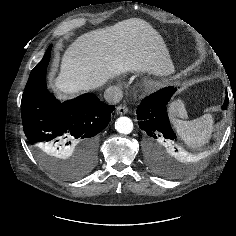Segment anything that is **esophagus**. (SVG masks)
<instances>
[{
    "instance_id": "obj_1",
    "label": "esophagus",
    "mask_w": 236,
    "mask_h": 236,
    "mask_svg": "<svg viewBox=\"0 0 236 236\" xmlns=\"http://www.w3.org/2000/svg\"><path fill=\"white\" fill-rule=\"evenodd\" d=\"M128 112V108L126 105H119L117 108H116V113L118 115H124Z\"/></svg>"
}]
</instances>
